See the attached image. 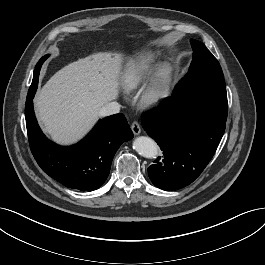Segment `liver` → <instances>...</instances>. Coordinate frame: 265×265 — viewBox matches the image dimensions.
<instances>
[{"instance_id": "liver-1", "label": "liver", "mask_w": 265, "mask_h": 265, "mask_svg": "<svg viewBox=\"0 0 265 265\" xmlns=\"http://www.w3.org/2000/svg\"><path fill=\"white\" fill-rule=\"evenodd\" d=\"M122 55L99 52L57 71L37 93V117L52 140L76 143L98 120L100 109L119 95Z\"/></svg>"}]
</instances>
